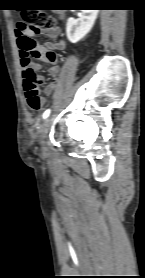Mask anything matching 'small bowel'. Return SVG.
Here are the masks:
<instances>
[{
	"instance_id": "small-bowel-1",
	"label": "small bowel",
	"mask_w": 145,
	"mask_h": 278,
	"mask_svg": "<svg viewBox=\"0 0 145 278\" xmlns=\"http://www.w3.org/2000/svg\"><path fill=\"white\" fill-rule=\"evenodd\" d=\"M38 34H43L45 36H48L50 38H52L54 41L53 43H47L43 46H40L42 49L47 50V49H52L54 51H58V50H63L65 48V42L61 37V31L59 28H53L50 31H32L30 29L25 30L22 33H16V38H17V43L18 46L21 48V40L24 39L25 37H29V38H35V36H37ZM40 59L43 60L45 63L49 64V69L48 72L52 78L51 82L45 87V92L48 90H52L53 88L56 87L57 82H58V74L60 72V68L57 65L56 61L55 62H49L43 54L39 55ZM21 66L23 71L30 66V68L33 71H38L41 69L40 64L38 63H31L30 58L27 56L26 52H21ZM40 82H43L44 78L43 76L39 75L38 76Z\"/></svg>"
}]
</instances>
